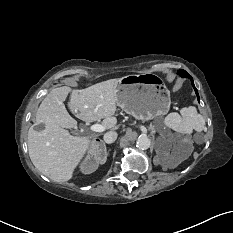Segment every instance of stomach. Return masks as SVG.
Segmentation results:
<instances>
[{
    "label": "stomach",
    "mask_w": 233,
    "mask_h": 233,
    "mask_svg": "<svg viewBox=\"0 0 233 233\" xmlns=\"http://www.w3.org/2000/svg\"><path fill=\"white\" fill-rule=\"evenodd\" d=\"M117 105L138 120L165 115L170 108V92L153 73L127 75L116 85Z\"/></svg>",
    "instance_id": "stomach-1"
}]
</instances>
